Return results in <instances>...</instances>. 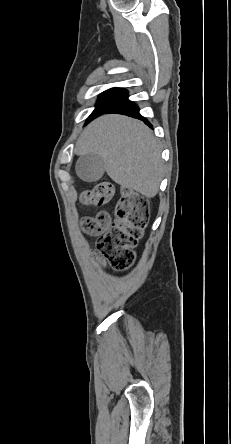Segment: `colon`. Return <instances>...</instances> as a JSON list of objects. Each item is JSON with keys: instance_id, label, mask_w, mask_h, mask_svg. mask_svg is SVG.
Masks as SVG:
<instances>
[{"instance_id": "5ec220e1", "label": "colon", "mask_w": 231, "mask_h": 444, "mask_svg": "<svg viewBox=\"0 0 231 444\" xmlns=\"http://www.w3.org/2000/svg\"><path fill=\"white\" fill-rule=\"evenodd\" d=\"M114 194L113 186L102 182L86 191L81 201L86 205L102 206ZM149 218L148 200L132 191L121 196L113 220L106 212L81 221L83 231L99 236L97 249L100 256L116 270L128 269L135 259L134 248L142 238Z\"/></svg>"}]
</instances>
